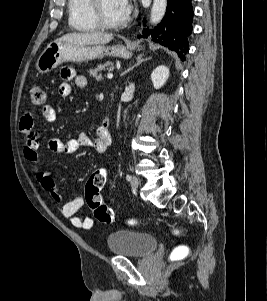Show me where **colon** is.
Segmentation results:
<instances>
[{
	"instance_id": "obj_1",
	"label": "colon",
	"mask_w": 267,
	"mask_h": 301,
	"mask_svg": "<svg viewBox=\"0 0 267 301\" xmlns=\"http://www.w3.org/2000/svg\"><path fill=\"white\" fill-rule=\"evenodd\" d=\"M31 103L34 106H41L46 102V93L39 85H33L29 89ZM108 178L106 168L97 169L92 173L85 188V200L91 208L94 217L105 224H112L115 221L114 211L103 201L102 189ZM132 223H135L132 221ZM189 250L185 246L176 247L171 253L172 260H182L187 257Z\"/></svg>"
}]
</instances>
